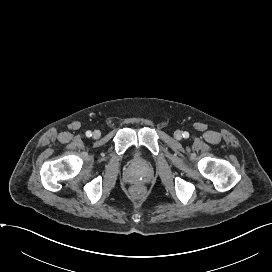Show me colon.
<instances>
[{"label":"colon","mask_w":272,"mask_h":272,"mask_svg":"<svg viewBox=\"0 0 272 272\" xmlns=\"http://www.w3.org/2000/svg\"><path fill=\"white\" fill-rule=\"evenodd\" d=\"M134 195L138 196L142 193V188L140 186H135L132 189Z\"/></svg>","instance_id":"colon-1"}]
</instances>
